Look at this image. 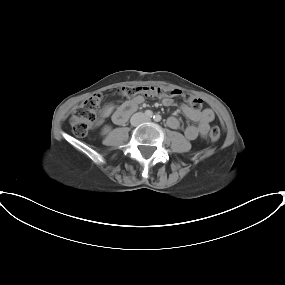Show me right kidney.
<instances>
[{"label":"right kidney","instance_id":"obj_1","mask_svg":"<svg viewBox=\"0 0 285 285\" xmlns=\"http://www.w3.org/2000/svg\"><path fill=\"white\" fill-rule=\"evenodd\" d=\"M110 129H111L110 126H105L102 130V134L104 135V134L108 133L110 131Z\"/></svg>","mask_w":285,"mask_h":285}]
</instances>
